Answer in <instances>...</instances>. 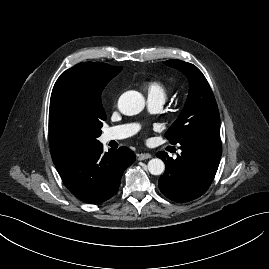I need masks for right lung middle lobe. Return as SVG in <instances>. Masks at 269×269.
Returning <instances> with one entry per match:
<instances>
[{
  "instance_id": "dd1d6c3e",
  "label": "right lung middle lobe",
  "mask_w": 269,
  "mask_h": 269,
  "mask_svg": "<svg viewBox=\"0 0 269 269\" xmlns=\"http://www.w3.org/2000/svg\"><path fill=\"white\" fill-rule=\"evenodd\" d=\"M81 70L65 71L57 81L80 79ZM106 113L86 102L73 103L61 88L52 91L49 110V142L53 163L64 161L100 142Z\"/></svg>"
}]
</instances>
